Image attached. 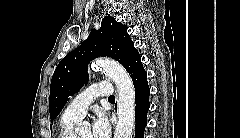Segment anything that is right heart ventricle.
<instances>
[{"mask_svg": "<svg viewBox=\"0 0 240 138\" xmlns=\"http://www.w3.org/2000/svg\"><path fill=\"white\" fill-rule=\"evenodd\" d=\"M79 118L63 115L58 129L57 138H74V127Z\"/></svg>", "mask_w": 240, "mask_h": 138, "instance_id": "e07e8e85", "label": "right heart ventricle"}]
</instances>
